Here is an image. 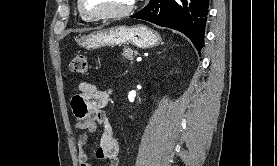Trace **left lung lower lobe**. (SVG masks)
<instances>
[{"label":"left lung lower lobe","instance_id":"0a47b994","mask_svg":"<svg viewBox=\"0 0 277 166\" xmlns=\"http://www.w3.org/2000/svg\"><path fill=\"white\" fill-rule=\"evenodd\" d=\"M208 8L209 0H151L131 18L180 31L201 51Z\"/></svg>","mask_w":277,"mask_h":166}]
</instances>
